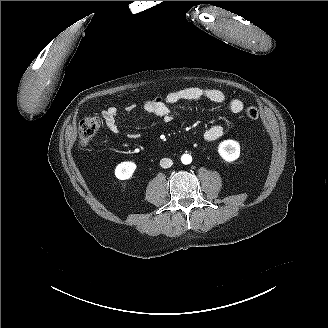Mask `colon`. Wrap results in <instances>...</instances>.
<instances>
[{
  "label": "colon",
  "mask_w": 328,
  "mask_h": 328,
  "mask_svg": "<svg viewBox=\"0 0 328 328\" xmlns=\"http://www.w3.org/2000/svg\"><path fill=\"white\" fill-rule=\"evenodd\" d=\"M246 116L251 120H257L259 111L256 107H249L246 110ZM100 128V121L95 116H85L79 123V139L83 146L90 143Z\"/></svg>",
  "instance_id": "5ec220e1"
}]
</instances>
